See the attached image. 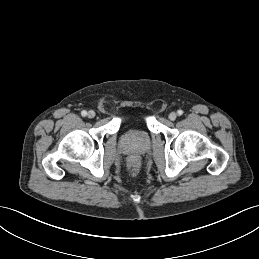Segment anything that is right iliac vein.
<instances>
[{
  "label": "right iliac vein",
  "mask_w": 259,
  "mask_h": 259,
  "mask_svg": "<svg viewBox=\"0 0 259 259\" xmlns=\"http://www.w3.org/2000/svg\"><path fill=\"white\" fill-rule=\"evenodd\" d=\"M95 115H96V114H95V112H94L93 110H90V111L88 112V117L91 118V119L94 118Z\"/></svg>",
  "instance_id": "63e3f726"
}]
</instances>
